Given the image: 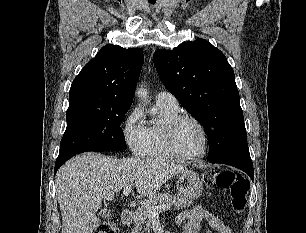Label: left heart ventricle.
Masks as SVG:
<instances>
[{"instance_id":"obj_1","label":"left heart ventricle","mask_w":306,"mask_h":233,"mask_svg":"<svg viewBox=\"0 0 306 233\" xmlns=\"http://www.w3.org/2000/svg\"><path fill=\"white\" fill-rule=\"evenodd\" d=\"M176 144L185 155H197L203 150V135L199 127L191 122H183L176 133Z\"/></svg>"}]
</instances>
